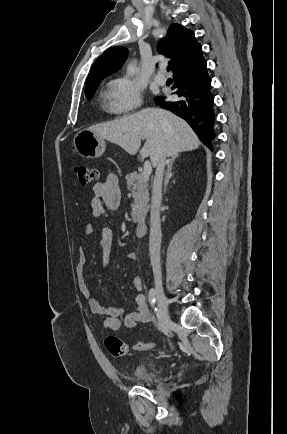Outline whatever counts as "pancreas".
<instances>
[{"label":"pancreas","mask_w":287,"mask_h":434,"mask_svg":"<svg viewBox=\"0 0 287 434\" xmlns=\"http://www.w3.org/2000/svg\"><path fill=\"white\" fill-rule=\"evenodd\" d=\"M127 189L131 191L134 202L131 205L132 220L139 222L144 219L149 210V190L148 179H144L143 174L132 173L126 176Z\"/></svg>","instance_id":"obj_1"}]
</instances>
